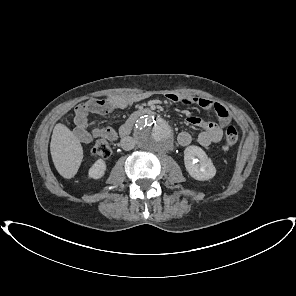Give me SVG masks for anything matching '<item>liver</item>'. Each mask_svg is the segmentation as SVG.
<instances>
[{"label": "liver", "mask_w": 296, "mask_h": 296, "mask_svg": "<svg viewBox=\"0 0 296 296\" xmlns=\"http://www.w3.org/2000/svg\"><path fill=\"white\" fill-rule=\"evenodd\" d=\"M50 152L58 173L71 179L76 175L83 159L80 140L64 124L55 125L50 142Z\"/></svg>", "instance_id": "1"}]
</instances>
